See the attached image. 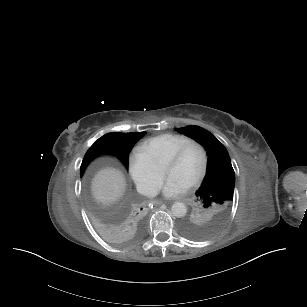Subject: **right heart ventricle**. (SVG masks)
<instances>
[{
    "label": "right heart ventricle",
    "instance_id": "1",
    "mask_svg": "<svg viewBox=\"0 0 307 307\" xmlns=\"http://www.w3.org/2000/svg\"><path fill=\"white\" fill-rule=\"evenodd\" d=\"M191 139L192 137L185 134L166 133L140 143L154 148L157 159L160 162H164L169 155L173 154L181 145Z\"/></svg>",
    "mask_w": 307,
    "mask_h": 307
}]
</instances>
